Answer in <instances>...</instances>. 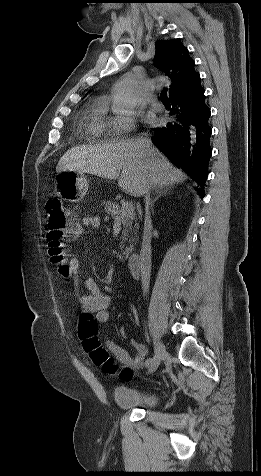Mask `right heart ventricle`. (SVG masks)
<instances>
[{
	"label": "right heart ventricle",
	"instance_id": "1",
	"mask_svg": "<svg viewBox=\"0 0 261 476\" xmlns=\"http://www.w3.org/2000/svg\"><path fill=\"white\" fill-rule=\"evenodd\" d=\"M108 120L105 117V107L102 102L92 104L87 118L86 130L92 139L105 137L108 132Z\"/></svg>",
	"mask_w": 261,
	"mask_h": 476
}]
</instances>
